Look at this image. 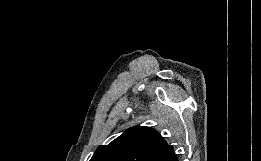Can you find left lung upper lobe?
<instances>
[{
  "label": "left lung upper lobe",
  "mask_w": 261,
  "mask_h": 161,
  "mask_svg": "<svg viewBox=\"0 0 261 161\" xmlns=\"http://www.w3.org/2000/svg\"><path fill=\"white\" fill-rule=\"evenodd\" d=\"M169 145L154 129L136 126L108 145H100L90 161H153Z\"/></svg>",
  "instance_id": "left-lung-upper-lobe-1"
}]
</instances>
